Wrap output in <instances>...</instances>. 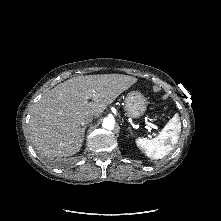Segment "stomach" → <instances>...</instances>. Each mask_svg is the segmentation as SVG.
I'll return each mask as SVG.
<instances>
[{
  "label": "stomach",
  "instance_id": "1",
  "mask_svg": "<svg viewBox=\"0 0 221 221\" xmlns=\"http://www.w3.org/2000/svg\"><path fill=\"white\" fill-rule=\"evenodd\" d=\"M146 98L139 91H131L125 99V111L127 116L138 119L146 111Z\"/></svg>",
  "mask_w": 221,
  "mask_h": 221
}]
</instances>
